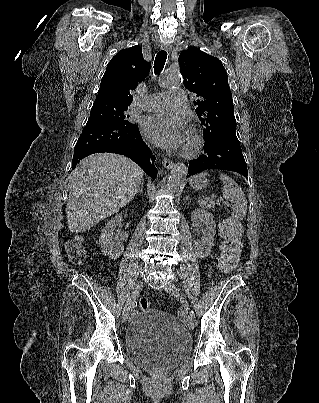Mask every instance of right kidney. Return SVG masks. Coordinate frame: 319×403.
<instances>
[{
    "label": "right kidney",
    "instance_id": "ca27d5eb",
    "mask_svg": "<svg viewBox=\"0 0 319 403\" xmlns=\"http://www.w3.org/2000/svg\"><path fill=\"white\" fill-rule=\"evenodd\" d=\"M122 222L123 217L116 215L104 226L99 237V245L103 254L112 260L118 259L124 252V237L114 236L115 228L121 226Z\"/></svg>",
    "mask_w": 319,
    "mask_h": 403
}]
</instances>
